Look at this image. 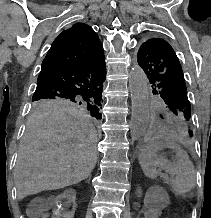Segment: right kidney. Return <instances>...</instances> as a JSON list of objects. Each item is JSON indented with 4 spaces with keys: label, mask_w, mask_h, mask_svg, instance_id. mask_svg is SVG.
Here are the masks:
<instances>
[{
    "label": "right kidney",
    "mask_w": 211,
    "mask_h": 218,
    "mask_svg": "<svg viewBox=\"0 0 211 218\" xmlns=\"http://www.w3.org/2000/svg\"><path fill=\"white\" fill-rule=\"evenodd\" d=\"M75 190H66L64 193H57V197H49L48 201L53 202L54 214L52 218H68L73 213L72 209H64V206H71L72 202H76Z\"/></svg>",
    "instance_id": "obj_1"
}]
</instances>
